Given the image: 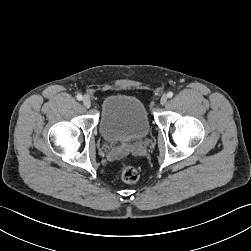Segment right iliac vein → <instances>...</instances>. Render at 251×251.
Returning a JSON list of instances; mask_svg holds the SVG:
<instances>
[{"instance_id":"obj_1","label":"right iliac vein","mask_w":251,"mask_h":251,"mask_svg":"<svg viewBox=\"0 0 251 251\" xmlns=\"http://www.w3.org/2000/svg\"><path fill=\"white\" fill-rule=\"evenodd\" d=\"M83 105L87 108H89L91 106V100L88 96H85L83 98Z\"/></svg>"}]
</instances>
